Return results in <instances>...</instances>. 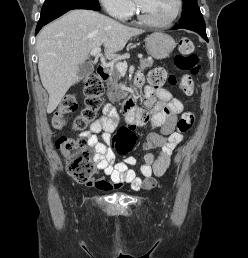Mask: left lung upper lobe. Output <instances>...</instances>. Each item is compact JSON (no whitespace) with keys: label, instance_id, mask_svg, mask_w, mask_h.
<instances>
[{"label":"left lung upper lobe","instance_id":"obj_1","mask_svg":"<svg viewBox=\"0 0 248 258\" xmlns=\"http://www.w3.org/2000/svg\"><path fill=\"white\" fill-rule=\"evenodd\" d=\"M184 10L179 25H186L191 22L202 21L203 16L197 4V0H182Z\"/></svg>","mask_w":248,"mask_h":258}]
</instances>
